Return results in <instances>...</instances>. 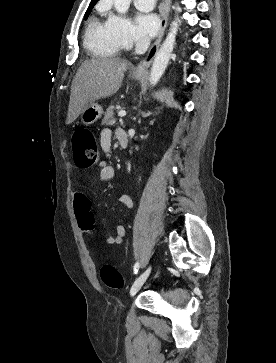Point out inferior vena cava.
I'll return each instance as SVG.
<instances>
[{
	"instance_id": "1",
	"label": "inferior vena cava",
	"mask_w": 276,
	"mask_h": 363,
	"mask_svg": "<svg viewBox=\"0 0 276 363\" xmlns=\"http://www.w3.org/2000/svg\"><path fill=\"white\" fill-rule=\"evenodd\" d=\"M150 45V38L148 36H141L137 38L135 52L136 54H144Z\"/></svg>"
}]
</instances>
